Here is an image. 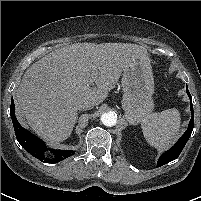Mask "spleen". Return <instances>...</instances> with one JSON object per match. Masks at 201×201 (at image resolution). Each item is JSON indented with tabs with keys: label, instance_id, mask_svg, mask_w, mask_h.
I'll return each instance as SVG.
<instances>
[{
	"label": "spleen",
	"instance_id": "spleen-1",
	"mask_svg": "<svg viewBox=\"0 0 201 201\" xmlns=\"http://www.w3.org/2000/svg\"><path fill=\"white\" fill-rule=\"evenodd\" d=\"M180 123V113L173 108L150 114L142 121L141 126L146 141L162 150L169 147L177 138Z\"/></svg>",
	"mask_w": 201,
	"mask_h": 201
}]
</instances>
